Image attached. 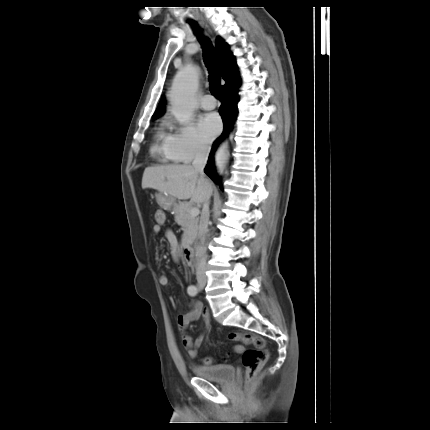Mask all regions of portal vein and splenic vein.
I'll return each instance as SVG.
<instances>
[{"label":"portal vein and splenic vein","mask_w":430,"mask_h":430,"mask_svg":"<svg viewBox=\"0 0 430 430\" xmlns=\"http://www.w3.org/2000/svg\"><path fill=\"white\" fill-rule=\"evenodd\" d=\"M190 214L192 216H197L199 214V209L198 208H191L190 209Z\"/></svg>","instance_id":"1"}]
</instances>
